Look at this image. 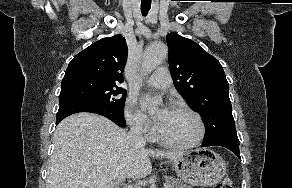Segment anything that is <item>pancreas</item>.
Here are the masks:
<instances>
[{"label":"pancreas","mask_w":292,"mask_h":188,"mask_svg":"<svg viewBox=\"0 0 292 188\" xmlns=\"http://www.w3.org/2000/svg\"><path fill=\"white\" fill-rule=\"evenodd\" d=\"M169 188H191L186 183L182 182L180 179L168 176L166 177Z\"/></svg>","instance_id":"cf45deb5"}]
</instances>
